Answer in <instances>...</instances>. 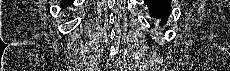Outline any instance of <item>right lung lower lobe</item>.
<instances>
[{
	"label": "right lung lower lobe",
	"instance_id": "98d812e1",
	"mask_svg": "<svg viewBox=\"0 0 230 71\" xmlns=\"http://www.w3.org/2000/svg\"><path fill=\"white\" fill-rule=\"evenodd\" d=\"M73 2V0H62L61 1V6L66 7L70 5Z\"/></svg>",
	"mask_w": 230,
	"mask_h": 71
}]
</instances>
